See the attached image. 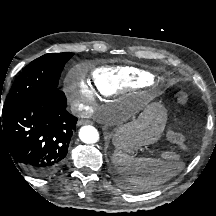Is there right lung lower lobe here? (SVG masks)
Wrapping results in <instances>:
<instances>
[{
	"mask_svg": "<svg viewBox=\"0 0 216 216\" xmlns=\"http://www.w3.org/2000/svg\"><path fill=\"white\" fill-rule=\"evenodd\" d=\"M66 106L64 93L57 89L3 111L0 156L36 177L56 174L63 166L77 122Z\"/></svg>",
	"mask_w": 216,
	"mask_h": 216,
	"instance_id": "obj_1",
	"label": "right lung lower lobe"
}]
</instances>
